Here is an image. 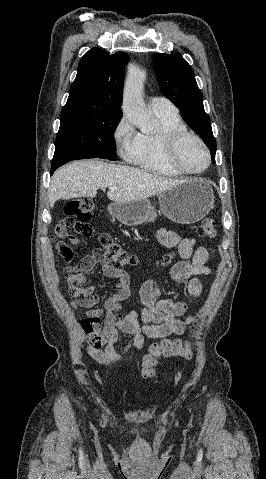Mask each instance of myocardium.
Listing matches in <instances>:
<instances>
[{
  "label": "myocardium",
  "mask_w": 266,
  "mask_h": 479,
  "mask_svg": "<svg viewBox=\"0 0 266 479\" xmlns=\"http://www.w3.org/2000/svg\"><path fill=\"white\" fill-rule=\"evenodd\" d=\"M188 138H192L196 140L201 145V147L203 148L206 154L207 161L205 166L201 169H197V170L188 169L179 160V156H178L179 147L181 143ZM163 141H164L165 159L174 169H176L180 173L188 174V175L201 174L205 172L211 165L212 156H211L210 149L208 148L205 141L196 133L188 131V130L168 131L164 134Z\"/></svg>",
  "instance_id": "obj_1"
}]
</instances>
